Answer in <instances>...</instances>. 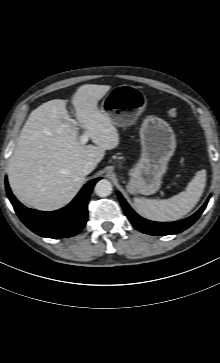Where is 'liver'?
<instances>
[{"instance_id": "obj_1", "label": "liver", "mask_w": 220, "mask_h": 363, "mask_svg": "<svg viewBox=\"0 0 220 363\" xmlns=\"http://www.w3.org/2000/svg\"><path fill=\"white\" fill-rule=\"evenodd\" d=\"M110 88L85 84L70 100L80 127L96 146L78 140L67 100H50L30 113L7 169L10 187L21 202L43 211L65 206L85 182L82 165L88 161L97 165L105 150L118 146V130L98 108V101Z\"/></svg>"}]
</instances>
